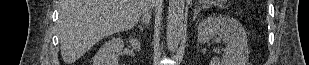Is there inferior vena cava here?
Wrapping results in <instances>:
<instances>
[{
	"label": "inferior vena cava",
	"instance_id": "obj_1",
	"mask_svg": "<svg viewBox=\"0 0 309 65\" xmlns=\"http://www.w3.org/2000/svg\"><path fill=\"white\" fill-rule=\"evenodd\" d=\"M155 5V0H150V3L144 9L142 13V23L148 24L150 22V15H151V7Z\"/></svg>",
	"mask_w": 309,
	"mask_h": 65
}]
</instances>
